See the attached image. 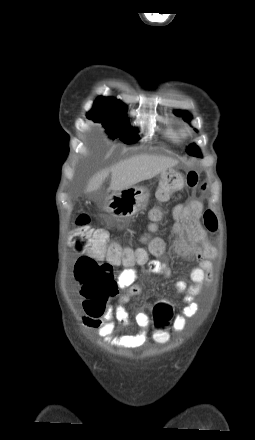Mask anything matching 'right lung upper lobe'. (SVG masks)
Listing matches in <instances>:
<instances>
[{
	"instance_id": "1",
	"label": "right lung upper lobe",
	"mask_w": 255,
	"mask_h": 440,
	"mask_svg": "<svg viewBox=\"0 0 255 440\" xmlns=\"http://www.w3.org/2000/svg\"><path fill=\"white\" fill-rule=\"evenodd\" d=\"M95 104L100 105V106H107V107H123L124 104L121 103L120 101L114 99V98H109V97H99L96 101Z\"/></svg>"
}]
</instances>
